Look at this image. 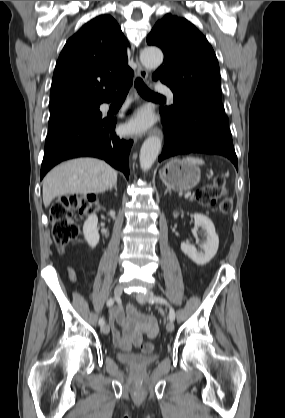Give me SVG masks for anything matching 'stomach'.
Here are the masks:
<instances>
[{
  "mask_svg": "<svg viewBox=\"0 0 285 418\" xmlns=\"http://www.w3.org/2000/svg\"><path fill=\"white\" fill-rule=\"evenodd\" d=\"M201 177L200 169L195 164H188L179 159H172L160 171L162 182L172 190L187 191L196 186Z\"/></svg>",
  "mask_w": 285,
  "mask_h": 418,
  "instance_id": "0dacf381",
  "label": "stomach"
}]
</instances>
